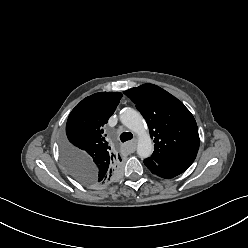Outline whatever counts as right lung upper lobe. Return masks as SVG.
<instances>
[{
  "label": "right lung upper lobe",
  "instance_id": "cb5924a9",
  "mask_svg": "<svg viewBox=\"0 0 248 248\" xmlns=\"http://www.w3.org/2000/svg\"><path fill=\"white\" fill-rule=\"evenodd\" d=\"M121 97L120 92L95 93L83 99L67 120L68 142L62 149V159L70 157L84 167L93 187L112 182L120 170L122 159L111 149L103 132Z\"/></svg>",
  "mask_w": 248,
  "mask_h": 248
}]
</instances>
